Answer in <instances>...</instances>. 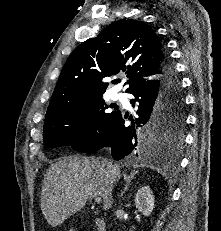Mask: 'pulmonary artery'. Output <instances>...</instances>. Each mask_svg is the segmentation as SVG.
<instances>
[{
	"label": "pulmonary artery",
	"instance_id": "pulmonary-artery-1",
	"mask_svg": "<svg viewBox=\"0 0 221 231\" xmlns=\"http://www.w3.org/2000/svg\"><path fill=\"white\" fill-rule=\"evenodd\" d=\"M114 98L123 104H127V100L122 93H115Z\"/></svg>",
	"mask_w": 221,
	"mask_h": 231
}]
</instances>
